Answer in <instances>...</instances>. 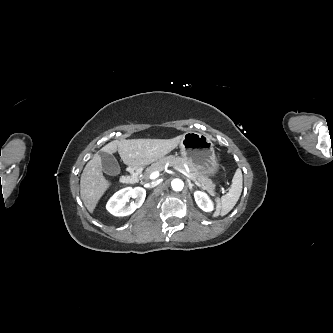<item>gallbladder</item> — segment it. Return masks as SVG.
<instances>
[{
	"mask_svg": "<svg viewBox=\"0 0 333 333\" xmlns=\"http://www.w3.org/2000/svg\"><path fill=\"white\" fill-rule=\"evenodd\" d=\"M99 156L101 158L102 170L110 176H116L120 174L121 168L117 159L107 152L99 151Z\"/></svg>",
	"mask_w": 333,
	"mask_h": 333,
	"instance_id": "1",
	"label": "gallbladder"
}]
</instances>
